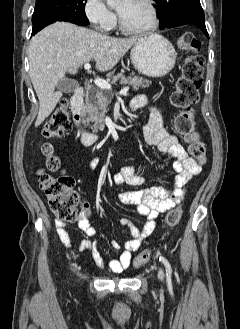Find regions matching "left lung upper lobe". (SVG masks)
I'll return each mask as SVG.
<instances>
[{"label": "left lung upper lobe", "mask_w": 240, "mask_h": 329, "mask_svg": "<svg viewBox=\"0 0 240 329\" xmlns=\"http://www.w3.org/2000/svg\"><path fill=\"white\" fill-rule=\"evenodd\" d=\"M157 3L156 13L160 28L179 19L205 20L200 0H154Z\"/></svg>", "instance_id": "obj_1"}]
</instances>
